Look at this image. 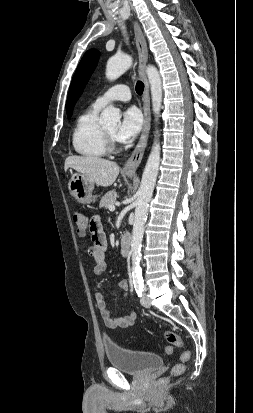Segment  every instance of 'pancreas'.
I'll list each match as a JSON object with an SVG mask.
<instances>
[{"mask_svg":"<svg viewBox=\"0 0 253 413\" xmlns=\"http://www.w3.org/2000/svg\"><path fill=\"white\" fill-rule=\"evenodd\" d=\"M117 193L115 190L107 192L101 199L99 206L108 209L116 202Z\"/></svg>","mask_w":253,"mask_h":413,"instance_id":"obj_1","label":"pancreas"}]
</instances>
